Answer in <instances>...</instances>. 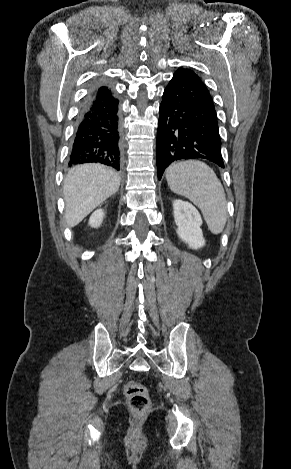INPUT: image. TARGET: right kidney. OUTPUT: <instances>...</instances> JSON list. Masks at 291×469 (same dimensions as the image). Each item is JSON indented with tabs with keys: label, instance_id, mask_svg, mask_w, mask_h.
I'll list each match as a JSON object with an SVG mask.
<instances>
[{
	"label": "right kidney",
	"instance_id": "obj_1",
	"mask_svg": "<svg viewBox=\"0 0 291 469\" xmlns=\"http://www.w3.org/2000/svg\"><path fill=\"white\" fill-rule=\"evenodd\" d=\"M104 215L105 214L102 209L95 211L89 219V225L94 228L99 227L103 221Z\"/></svg>",
	"mask_w": 291,
	"mask_h": 469
}]
</instances>
